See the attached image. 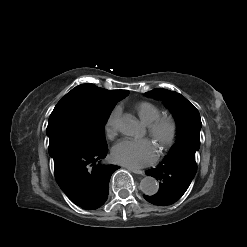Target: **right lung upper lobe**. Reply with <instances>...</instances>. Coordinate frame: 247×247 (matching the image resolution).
<instances>
[{
	"instance_id": "cb5924a9",
	"label": "right lung upper lobe",
	"mask_w": 247,
	"mask_h": 247,
	"mask_svg": "<svg viewBox=\"0 0 247 247\" xmlns=\"http://www.w3.org/2000/svg\"><path fill=\"white\" fill-rule=\"evenodd\" d=\"M76 88L91 92L108 101L121 97L125 98L129 94V91L126 90H106L103 88H99L93 84H82L77 86Z\"/></svg>"
}]
</instances>
